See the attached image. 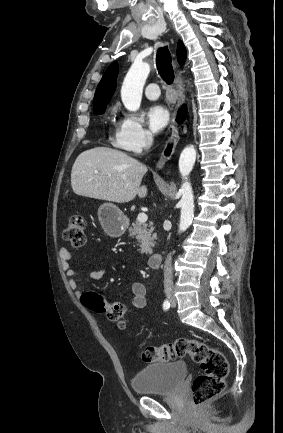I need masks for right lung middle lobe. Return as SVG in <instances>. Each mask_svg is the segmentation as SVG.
Returning <instances> with one entry per match:
<instances>
[{
	"label": "right lung middle lobe",
	"mask_w": 283,
	"mask_h": 433,
	"mask_svg": "<svg viewBox=\"0 0 283 433\" xmlns=\"http://www.w3.org/2000/svg\"><path fill=\"white\" fill-rule=\"evenodd\" d=\"M106 110V106L105 107H101L99 109L94 110V114L98 115V114H103Z\"/></svg>",
	"instance_id": "1"
}]
</instances>
